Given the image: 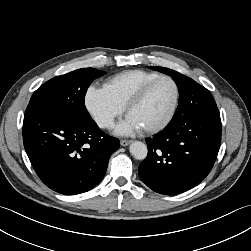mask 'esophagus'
<instances>
[{
  "label": "esophagus",
  "mask_w": 251,
  "mask_h": 251,
  "mask_svg": "<svg viewBox=\"0 0 251 251\" xmlns=\"http://www.w3.org/2000/svg\"><path fill=\"white\" fill-rule=\"evenodd\" d=\"M130 143H131V140L123 139L120 141L121 146H128Z\"/></svg>",
  "instance_id": "esophagus-1"
}]
</instances>
